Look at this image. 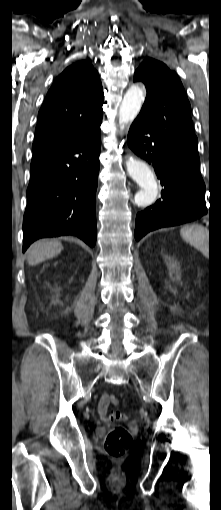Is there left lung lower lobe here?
<instances>
[{
  "label": "left lung lower lobe",
  "mask_w": 221,
  "mask_h": 510,
  "mask_svg": "<svg viewBox=\"0 0 221 510\" xmlns=\"http://www.w3.org/2000/svg\"><path fill=\"white\" fill-rule=\"evenodd\" d=\"M127 142L136 155L154 167L164 187L161 199L137 214L134 233L137 241L150 231L191 222L207 214L198 155L159 137L138 117L130 127Z\"/></svg>",
  "instance_id": "1"
}]
</instances>
